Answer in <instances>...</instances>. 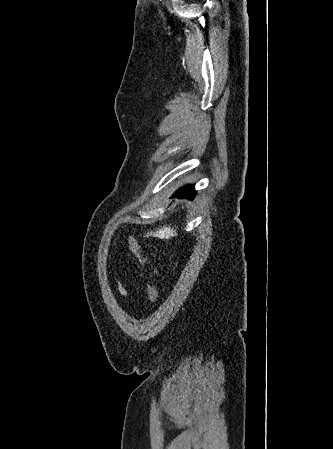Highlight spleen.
<instances>
[{
  "label": "spleen",
  "instance_id": "1",
  "mask_svg": "<svg viewBox=\"0 0 333 449\" xmlns=\"http://www.w3.org/2000/svg\"><path fill=\"white\" fill-rule=\"evenodd\" d=\"M177 232L176 230H174L173 228H171L170 226H164L161 229L156 230L155 232H148L147 233V237L148 236H154V237H159V238H170L171 236H176Z\"/></svg>",
  "mask_w": 333,
  "mask_h": 449
}]
</instances>
